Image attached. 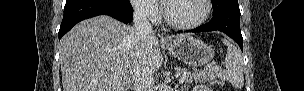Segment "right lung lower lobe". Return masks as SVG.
Segmentation results:
<instances>
[{
	"mask_svg": "<svg viewBox=\"0 0 304 91\" xmlns=\"http://www.w3.org/2000/svg\"><path fill=\"white\" fill-rule=\"evenodd\" d=\"M103 14L121 22L130 23L133 8L130 3L117 4L112 0H66L64 16L58 33L59 39L76 23Z\"/></svg>",
	"mask_w": 304,
	"mask_h": 91,
	"instance_id": "98d812e1",
	"label": "right lung lower lobe"
}]
</instances>
